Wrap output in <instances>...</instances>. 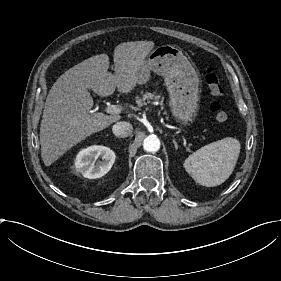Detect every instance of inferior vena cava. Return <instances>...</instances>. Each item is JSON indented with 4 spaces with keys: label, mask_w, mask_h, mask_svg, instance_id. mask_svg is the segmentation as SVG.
<instances>
[{
    "label": "inferior vena cava",
    "mask_w": 281,
    "mask_h": 281,
    "mask_svg": "<svg viewBox=\"0 0 281 281\" xmlns=\"http://www.w3.org/2000/svg\"><path fill=\"white\" fill-rule=\"evenodd\" d=\"M133 130L132 125L129 122H117L115 125H113L112 131L114 135L118 137H128L131 135Z\"/></svg>",
    "instance_id": "inferior-vena-cava-1"
}]
</instances>
